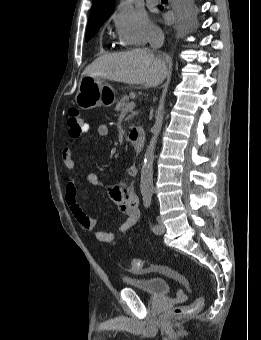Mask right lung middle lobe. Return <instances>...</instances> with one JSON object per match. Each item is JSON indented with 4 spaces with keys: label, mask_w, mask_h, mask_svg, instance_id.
Returning a JSON list of instances; mask_svg holds the SVG:
<instances>
[{
    "label": "right lung middle lobe",
    "mask_w": 261,
    "mask_h": 340,
    "mask_svg": "<svg viewBox=\"0 0 261 340\" xmlns=\"http://www.w3.org/2000/svg\"><path fill=\"white\" fill-rule=\"evenodd\" d=\"M181 10L186 20L190 21L194 16V7L192 5V0H183L182 5H181ZM107 19L108 18L99 19L88 24L87 33H86V41H89L97 33L99 28L102 26V24Z\"/></svg>",
    "instance_id": "1"
}]
</instances>
